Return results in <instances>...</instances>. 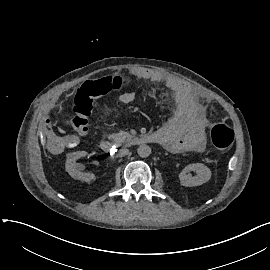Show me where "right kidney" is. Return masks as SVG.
<instances>
[{"label":"right kidney","mask_w":270,"mask_h":270,"mask_svg":"<svg viewBox=\"0 0 270 270\" xmlns=\"http://www.w3.org/2000/svg\"><path fill=\"white\" fill-rule=\"evenodd\" d=\"M86 155H87L86 151H77L73 153H68L66 155L67 159L65 163V168L72 178L89 182L95 178V175L92 173L80 172L82 166L76 163L77 159L85 157Z\"/></svg>","instance_id":"ca27d5eb"}]
</instances>
